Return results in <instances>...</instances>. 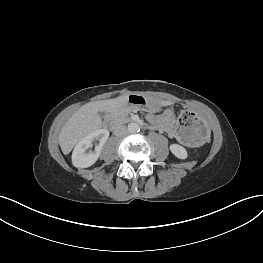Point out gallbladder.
I'll return each mask as SVG.
<instances>
[{
	"instance_id": "obj_1",
	"label": "gallbladder",
	"mask_w": 263,
	"mask_h": 263,
	"mask_svg": "<svg viewBox=\"0 0 263 263\" xmlns=\"http://www.w3.org/2000/svg\"><path fill=\"white\" fill-rule=\"evenodd\" d=\"M99 116H100L101 118H104V117L106 116V113H105V112H99Z\"/></svg>"
}]
</instances>
